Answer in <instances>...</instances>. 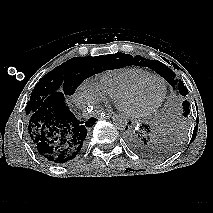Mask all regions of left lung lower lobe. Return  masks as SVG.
<instances>
[{
	"instance_id": "0a47b994",
	"label": "left lung lower lobe",
	"mask_w": 213,
	"mask_h": 213,
	"mask_svg": "<svg viewBox=\"0 0 213 213\" xmlns=\"http://www.w3.org/2000/svg\"><path fill=\"white\" fill-rule=\"evenodd\" d=\"M125 138L129 147L137 154L147 158H161L163 155L161 143L164 139L154 126L142 124L127 129Z\"/></svg>"
}]
</instances>
